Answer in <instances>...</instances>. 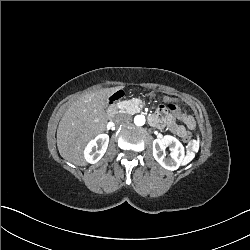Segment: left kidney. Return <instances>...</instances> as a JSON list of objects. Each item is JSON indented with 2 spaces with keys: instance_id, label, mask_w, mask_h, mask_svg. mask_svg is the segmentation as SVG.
<instances>
[{
  "instance_id": "1",
  "label": "left kidney",
  "mask_w": 250,
  "mask_h": 250,
  "mask_svg": "<svg viewBox=\"0 0 250 250\" xmlns=\"http://www.w3.org/2000/svg\"><path fill=\"white\" fill-rule=\"evenodd\" d=\"M171 148V158H166L162 152L166 147ZM153 157L165 169L174 171L179 168L184 159V147L181 142L171 135L153 141Z\"/></svg>"
}]
</instances>
